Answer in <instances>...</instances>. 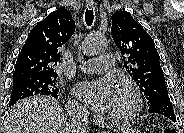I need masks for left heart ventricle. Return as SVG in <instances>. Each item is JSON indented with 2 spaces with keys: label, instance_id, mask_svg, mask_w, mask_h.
Returning a JSON list of instances; mask_svg holds the SVG:
<instances>
[{
  "label": "left heart ventricle",
  "instance_id": "left-heart-ventricle-1",
  "mask_svg": "<svg viewBox=\"0 0 184 133\" xmlns=\"http://www.w3.org/2000/svg\"><path fill=\"white\" fill-rule=\"evenodd\" d=\"M130 108L129 96L120 90L117 91V96L110 109L107 111L109 116H121Z\"/></svg>",
  "mask_w": 184,
  "mask_h": 133
}]
</instances>
